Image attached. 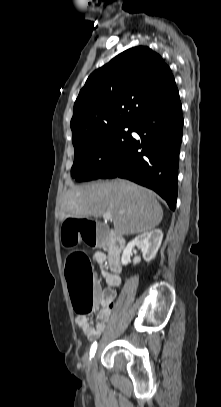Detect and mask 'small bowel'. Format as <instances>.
Wrapping results in <instances>:
<instances>
[{
	"mask_svg": "<svg viewBox=\"0 0 221 407\" xmlns=\"http://www.w3.org/2000/svg\"><path fill=\"white\" fill-rule=\"evenodd\" d=\"M93 261L95 265L101 269L107 289L101 291L99 288H96V305L99 307V313L95 322H91L85 316H79L76 319L78 327L82 331L84 337L88 340L98 338L104 331L114 307V298L116 294L113 288L119 286L121 282L120 277L117 274L105 270L106 255L104 253L95 252L93 254Z\"/></svg>",
	"mask_w": 221,
	"mask_h": 407,
	"instance_id": "obj_1",
	"label": "small bowel"
}]
</instances>
